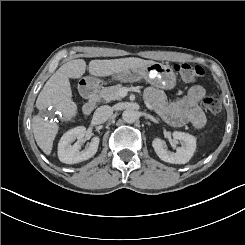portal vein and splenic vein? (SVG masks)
Instances as JSON below:
<instances>
[{
  "label": "portal vein and splenic vein",
  "mask_w": 245,
  "mask_h": 245,
  "mask_svg": "<svg viewBox=\"0 0 245 245\" xmlns=\"http://www.w3.org/2000/svg\"><path fill=\"white\" fill-rule=\"evenodd\" d=\"M121 94V93H120ZM127 94V91L126 92H124L123 94H121L122 96H125Z\"/></svg>",
  "instance_id": "1"
}]
</instances>
